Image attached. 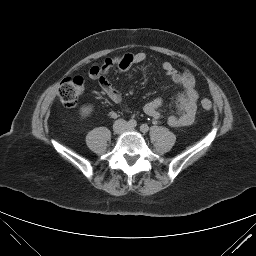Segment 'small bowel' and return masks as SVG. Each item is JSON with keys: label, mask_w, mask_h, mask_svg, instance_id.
<instances>
[{"label": "small bowel", "mask_w": 256, "mask_h": 256, "mask_svg": "<svg viewBox=\"0 0 256 256\" xmlns=\"http://www.w3.org/2000/svg\"><path fill=\"white\" fill-rule=\"evenodd\" d=\"M146 56L145 52H129L105 60L102 65L99 84L102 91L112 102L120 103L122 96L111 85L107 79V74L113 69L130 73L132 66L143 62ZM162 69L169 79L181 88L177 96V111L174 114L164 115L160 110L162 100L156 98L145 104L144 112L154 120H165L172 127L189 126L194 122L197 111L198 93L195 89L194 78L187 70H179L168 61L162 63Z\"/></svg>", "instance_id": "obj_1"}]
</instances>
